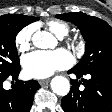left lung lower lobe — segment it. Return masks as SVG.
<instances>
[{"mask_svg":"<svg viewBox=\"0 0 112 112\" xmlns=\"http://www.w3.org/2000/svg\"><path fill=\"white\" fill-rule=\"evenodd\" d=\"M68 73H74L77 79L71 80L70 92L61 100L65 112L112 111V65L87 72L72 68ZM87 74L91 77L89 80L82 78ZM81 83L85 87L83 90L79 88Z\"/></svg>","mask_w":112,"mask_h":112,"instance_id":"left-lung-lower-lobe-1","label":"left lung lower lobe"}]
</instances>
